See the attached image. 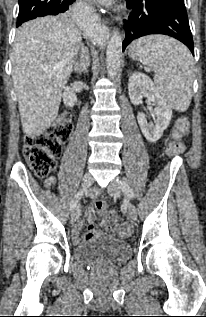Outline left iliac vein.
<instances>
[{"label": "left iliac vein", "instance_id": "1", "mask_svg": "<svg viewBox=\"0 0 206 317\" xmlns=\"http://www.w3.org/2000/svg\"><path fill=\"white\" fill-rule=\"evenodd\" d=\"M108 192L114 198H119L121 196V187L117 181H112L108 187ZM127 213L130 220L134 221L137 218V209L133 203L129 202L127 204Z\"/></svg>", "mask_w": 206, "mask_h": 317}]
</instances>
